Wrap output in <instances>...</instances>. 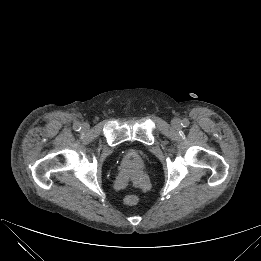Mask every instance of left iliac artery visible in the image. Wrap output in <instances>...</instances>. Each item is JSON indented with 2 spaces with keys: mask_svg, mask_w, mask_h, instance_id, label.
Here are the masks:
<instances>
[{
  "mask_svg": "<svg viewBox=\"0 0 261 261\" xmlns=\"http://www.w3.org/2000/svg\"><path fill=\"white\" fill-rule=\"evenodd\" d=\"M181 125L183 127H188L189 126V120L188 119H183Z\"/></svg>",
  "mask_w": 261,
  "mask_h": 261,
  "instance_id": "44dca946",
  "label": "left iliac artery"
}]
</instances>
